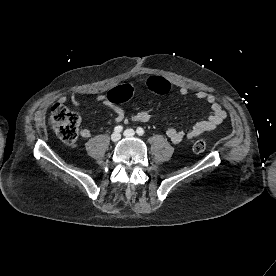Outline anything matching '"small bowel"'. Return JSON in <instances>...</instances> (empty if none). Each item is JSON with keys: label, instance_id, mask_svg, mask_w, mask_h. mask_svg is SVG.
I'll return each instance as SVG.
<instances>
[{"label": "small bowel", "instance_id": "obj_1", "mask_svg": "<svg viewBox=\"0 0 276 276\" xmlns=\"http://www.w3.org/2000/svg\"><path fill=\"white\" fill-rule=\"evenodd\" d=\"M151 79H160V78L153 77ZM151 79H149V81ZM124 87L129 90V92L131 93V96L136 91V85L134 83H129ZM151 90L154 92L164 94L169 91V87L162 82H158V88L151 89ZM178 93L184 96L188 93V89L185 86H180L178 89ZM196 97L199 100L205 101L209 105L211 110V115H209L204 120L194 123L193 125H191L189 128L185 130H178L172 127L168 128L166 130V135L169 138V140L174 144H179L184 140H190L206 132L212 131L216 129L226 118L225 110L223 109V107L221 106V104L218 102L217 98L213 94L205 91H199L197 92ZM96 99L100 104L109 108L115 113V122L117 123H120V122L127 123L130 121L145 123L151 120L152 109H145V110L139 111L138 113L132 116H127L124 109L118 104H116L115 102L109 100L107 95L103 93H98L96 95ZM67 100L68 98L66 96H62L60 98L61 102H66ZM69 100L73 105L80 104V97H79V94L77 93L72 94ZM80 135L82 138L87 139L91 136V131L87 128H83L80 131Z\"/></svg>", "mask_w": 276, "mask_h": 276}]
</instances>
